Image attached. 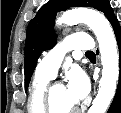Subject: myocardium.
<instances>
[{"label": "myocardium", "mask_w": 121, "mask_h": 113, "mask_svg": "<svg viewBox=\"0 0 121 113\" xmlns=\"http://www.w3.org/2000/svg\"><path fill=\"white\" fill-rule=\"evenodd\" d=\"M56 85H61V84H56ZM54 86L55 85L49 87L45 91V105H46V110L48 111V113H56V112L53 111V103H52V91H53ZM77 109L78 108H74L73 110H71L67 113H73Z\"/></svg>", "instance_id": "1"}]
</instances>
